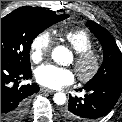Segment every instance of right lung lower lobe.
Segmentation results:
<instances>
[{
  "label": "right lung lower lobe",
  "instance_id": "obj_1",
  "mask_svg": "<svg viewBox=\"0 0 122 122\" xmlns=\"http://www.w3.org/2000/svg\"><path fill=\"white\" fill-rule=\"evenodd\" d=\"M31 77V68L21 69L1 60V122H20L25 116L28 97L38 92L39 86H19L18 80Z\"/></svg>",
  "mask_w": 122,
  "mask_h": 122
}]
</instances>
